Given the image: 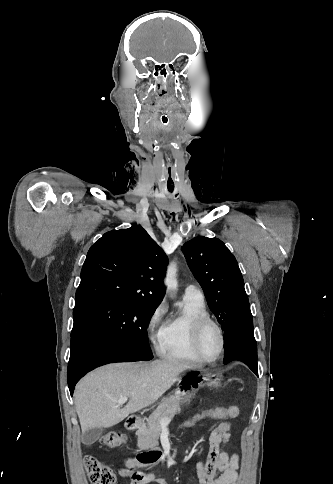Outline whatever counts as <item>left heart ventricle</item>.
Segmentation results:
<instances>
[{"label":"left heart ventricle","instance_id":"b2bd125f","mask_svg":"<svg viewBox=\"0 0 333 484\" xmlns=\"http://www.w3.org/2000/svg\"><path fill=\"white\" fill-rule=\"evenodd\" d=\"M201 348L207 357H214L220 349V338L217 330L213 326H208L201 338Z\"/></svg>","mask_w":333,"mask_h":484}]
</instances>
